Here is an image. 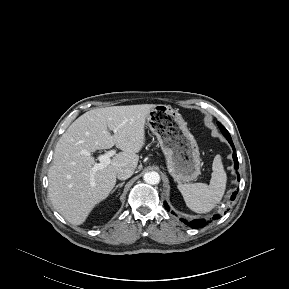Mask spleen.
<instances>
[{
	"mask_svg": "<svg viewBox=\"0 0 289 289\" xmlns=\"http://www.w3.org/2000/svg\"><path fill=\"white\" fill-rule=\"evenodd\" d=\"M212 175L209 185L205 183L178 184L186 205L194 212L211 211L222 199L227 183L221 156L216 155L212 164Z\"/></svg>",
	"mask_w": 289,
	"mask_h": 289,
	"instance_id": "3e777b00",
	"label": "spleen"
}]
</instances>
